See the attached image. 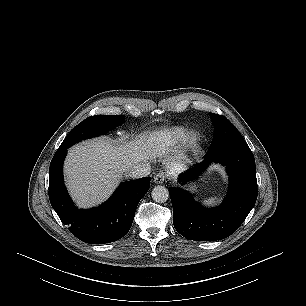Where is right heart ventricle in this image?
Instances as JSON below:
<instances>
[{"label":"right heart ventricle","instance_id":"right-heart-ventricle-1","mask_svg":"<svg viewBox=\"0 0 306 306\" xmlns=\"http://www.w3.org/2000/svg\"><path fill=\"white\" fill-rule=\"evenodd\" d=\"M185 134V129L182 127H173L165 131L159 138V143L162 146H170L178 144Z\"/></svg>","mask_w":306,"mask_h":306}]
</instances>
